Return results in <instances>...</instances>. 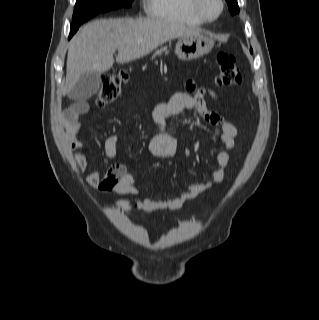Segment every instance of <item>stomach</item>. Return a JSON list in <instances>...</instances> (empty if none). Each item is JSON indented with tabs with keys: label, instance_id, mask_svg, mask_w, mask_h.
<instances>
[{
	"label": "stomach",
	"instance_id": "1",
	"mask_svg": "<svg viewBox=\"0 0 319 320\" xmlns=\"http://www.w3.org/2000/svg\"><path fill=\"white\" fill-rule=\"evenodd\" d=\"M214 41L208 36L196 34L180 37L176 43L175 53L180 60L190 61L209 53Z\"/></svg>",
	"mask_w": 319,
	"mask_h": 320
}]
</instances>
